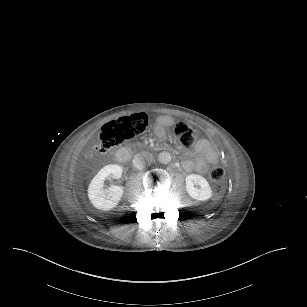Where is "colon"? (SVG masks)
Returning a JSON list of instances; mask_svg holds the SVG:
<instances>
[{
    "label": "colon",
    "instance_id": "5ec220e1",
    "mask_svg": "<svg viewBox=\"0 0 307 307\" xmlns=\"http://www.w3.org/2000/svg\"><path fill=\"white\" fill-rule=\"evenodd\" d=\"M152 121L153 117L150 115L135 114L106 123L101 129L98 143L86 150L85 157L108 153L123 142L135 139L149 127ZM174 133L185 147L191 146L198 137V131L184 121L176 124ZM209 177L214 182H220L224 177V171L221 167L213 165L210 167Z\"/></svg>",
    "mask_w": 307,
    "mask_h": 307
}]
</instances>
